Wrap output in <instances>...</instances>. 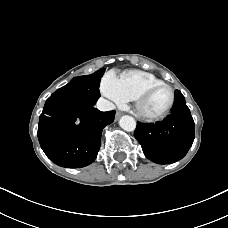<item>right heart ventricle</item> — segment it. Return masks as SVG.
Instances as JSON below:
<instances>
[{"mask_svg":"<svg viewBox=\"0 0 228 228\" xmlns=\"http://www.w3.org/2000/svg\"><path fill=\"white\" fill-rule=\"evenodd\" d=\"M163 82L154 74L142 70H128L117 77V84L122 95L128 100L135 97L147 86Z\"/></svg>","mask_w":228,"mask_h":228,"instance_id":"1","label":"right heart ventricle"}]
</instances>
